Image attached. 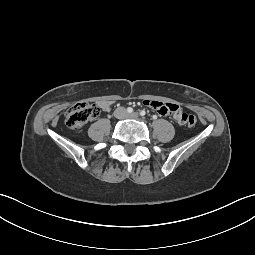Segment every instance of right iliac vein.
<instances>
[{
	"label": "right iliac vein",
	"instance_id": "1",
	"mask_svg": "<svg viewBox=\"0 0 255 255\" xmlns=\"http://www.w3.org/2000/svg\"><path fill=\"white\" fill-rule=\"evenodd\" d=\"M126 112H125V109L120 107V108H117L115 111H114V116L116 118H123L125 116Z\"/></svg>",
	"mask_w": 255,
	"mask_h": 255
}]
</instances>
